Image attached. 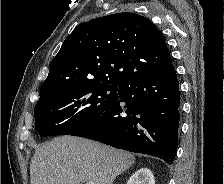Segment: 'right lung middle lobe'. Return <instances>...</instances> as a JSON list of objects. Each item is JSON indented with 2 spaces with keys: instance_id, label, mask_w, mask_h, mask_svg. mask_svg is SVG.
Listing matches in <instances>:
<instances>
[{
  "instance_id": "1",
  "label": "right lung middle lobe",
  "mask_w": 224,
  "mask_h": 184,
  "mask_svg": "<svg viewBox=\"0 0 224 184\" xmlns=\"http://www.w3.org/2000/svg\"><path fill=\"white\" fill-rule=\"evenodd\" d=\"M122 85L83 83L36 104L35 128L41 137L69 135L99 117L119 97Z\"/></svg>"
}]
</instances>
